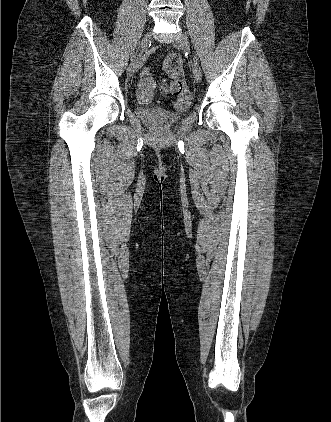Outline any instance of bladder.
I'll return each instance as SVG.
<instances>
[{
	"label": "bladder",
	"instance_id": "1",
	"mask_svg": "<svg viewBox=\"0 0 331 422\" xmlns=\"http://www.w3.org/2000/svg\"><path fill=\"white\" fill-rule=\"evenodd\" d=\"M186 110L187 107L179 110L178 113H174L160 106H147L136 108V113L150 126L159 128L177 123L179 120V113H183Z\"/></svg>",
	"mask_w": 331,
	"mask_h": 422
}]
</instances>
